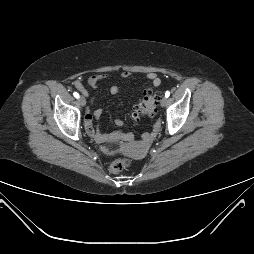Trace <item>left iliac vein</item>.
I'll list each match as a JSON object with an SVG mask.
<instances>
[{
	"label": "left iliac vein",
	"instance_id": "1",
	"mask_svg": "<svg viewBox=\"0 0 254 254\" xmlns=\"http://www.w3.org/2000/svg\"><path fill=\"white\" fill-rule=\"evenodd\" d=\"M166 104H167V98H166L165 96H163V97L161 98V100H160V105H161L162 107H164V106H166Z\"/></svg>",
	"mask_w": 254,
	"mask_h": 254
}]
</instances>
